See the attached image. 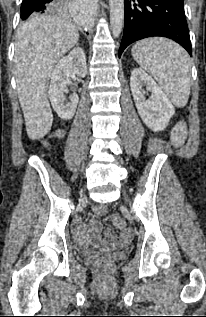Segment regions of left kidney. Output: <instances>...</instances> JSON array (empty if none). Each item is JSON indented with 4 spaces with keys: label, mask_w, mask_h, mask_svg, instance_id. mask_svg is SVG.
<instances>
[{
    "label": "left kidney",
    "mask_w": 206,
    "mask_h": 317,
    "mask_svg": "<svg viewBox=\"0 0 206 317\" xmlns=\"http://www.w3.org/2000/svg\"><path fill=\"white\" fill-rule=\"evenodd\" d=\"M143 87L151 91L148 100ZM130 88L142 121L155 132L164 130L175 109L153 78L143 69L135 68L131 73Z\"/></svg>",
    "instance_id": "5707ae66"
}]
</instances>
